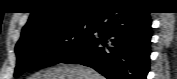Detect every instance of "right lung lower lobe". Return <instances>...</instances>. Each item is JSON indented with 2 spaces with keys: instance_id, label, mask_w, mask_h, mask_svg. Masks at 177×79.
<instances>
[{
  "instance_id": "right-lung-lower-lobe-1",
  "label": "right lung lower lobe",
  "mask_w": 177,
  "mask_h": 79,
  "mask_svg": "<svg viewBox=\"0 0 177 79\" xmlns=\"http://www.w3.org/2000/svg\"><path fill=\"white\" fill-rule=\"evenodd\" d=\"M91 24L87 40L60 63L89 66L108 79H146L151 40L149 12L133 6H113L104 9Z\"/></svg>"
}]
</instances>
